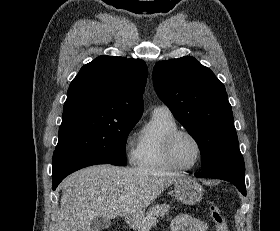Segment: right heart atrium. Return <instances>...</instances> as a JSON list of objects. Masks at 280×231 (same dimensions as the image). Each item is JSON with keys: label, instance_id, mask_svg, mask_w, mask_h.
Instances as JSON below:
<instances>
[{"label": "right heart atrium", "instance_id": "d8ad5b80", "mask_svg": "<svg viewBox=\"0 0 280 231\" xmlns=\"http://www.w3.org/2000/svg\"><path fill=\"white\" fill-rule=\"evenodd\" d=\"M138 144L139 138L134 137L131 132L127 133L125 136L124 145L127 158L130 162H136Z\"/></svg>", "mask_w": 280, "mask_h": 231}]
</instances>
